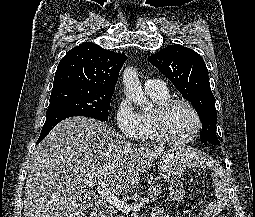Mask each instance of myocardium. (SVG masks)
<instances>
[{
    "label": "myocardium",
    "mask_w": 255,
    "mask_h": 217,
    "mask_svg": "<svg viewBox=\"0 0 255 217\" xmlns=\"http://www.w3.org/2000/svg\"><path fill=\"white\" fill-rule=\"evenodd\" d=\"M177 104H183L187 106L193 113L196 119V128L194 132L192 133L191 136L185 139H175L172 138L166 131L165 128V118L168 113V111ZM152 122H153V130L154 134L157 140L168 143V144H173V145H182V144H187L192 142L200 133L202 129V118L200 116L199 111L197 108L194 106L193 103L190 101L183 99V98H170L160 105H158L152 114Z\"/></svg>",
    "instance_id": "1"
}]
</instances>
